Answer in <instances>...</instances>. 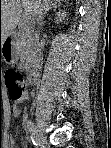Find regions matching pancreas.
<instances>
[{
    "label": "pancreas",
    "mask_w": 111,
    "mask_h": 148,
    "mask_svg": "<svg viewBox=\"0 0 111 148\" xmlns=\"http://www.w3.org/2000/svg\"><path fill=\"white\" fill-rule=\"evenodd\" d=\"M27 28L28 27H24L21 28L20 32H19V35L21 37V41H20V45H21V49H22V52H21V57H20V60L21 62L24 64L23 68L27 69L28 68V65H27V60H28V53H27V50H28V47H27V38L29 36V33L27 31Z\"/></svg>",
    "instance_id": "obj_1"
}]
</instances>
